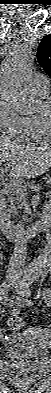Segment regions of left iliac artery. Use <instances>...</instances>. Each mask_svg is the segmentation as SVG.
Returning a JSON list of instances; mask_svg holds the SVG:
<instances>
[{"label":"left iliac artery","mask_w":51,"mask_h":393,"mask_svg":"<svg viewBox=\"0 0 51 393\" xmlns=\"http://www.w3.org/2000/svg\"><path fill=\"white\" fill-rule=\"evenodd\" d=\"M37 274L35 273H30L24 276V278L21 281V288H22V294L23 296H28L30 295V289L29 285L36 280ZM44 298L46 299V303L48 306L51 305V290L48 289L46 292H44Z\"/></svg>","instance_id":"obj_1"}]
</instances>
